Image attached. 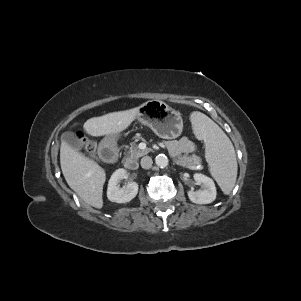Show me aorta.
<instances>
[{
    "label": "aorta",
    "mask_w": 301,
    "mask_h": 301,
    "mask_svg": "<svg viewBox=\"0 0 301 301\" xmlns=\"http://www.w3.org/2000/svg\"><path fill=\"white\" fill-rule=\"evenodd\" d=\"M155 163L161 167V168H164L168 165V158L166 155L164 154H159L156 156L155 158Z\"/></svg>",
    "instance_id": "1"
}]
</instances>
